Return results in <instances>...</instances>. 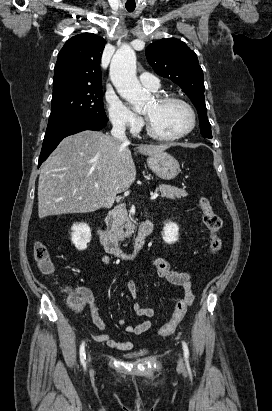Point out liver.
Here are the masks:
<instances>
[{"label": "liver", "instance_id": "6515ba94", "mask_svg": "<svg viewBox=\"0 0 272 411\" xmlns=\"http://www.w3.org/2000/svg\"><path fill=\"white\" fill-rule=\"evenodd\" d=\"M128 145L109 134L89 130L64 138L41 168L39 218L110 207L116 194L126 191L136 178ZM170 147L141 144L137 149L153 155Z\"/></svg>", "mask_w": 272, "mask_h": 411}]
</instances>
